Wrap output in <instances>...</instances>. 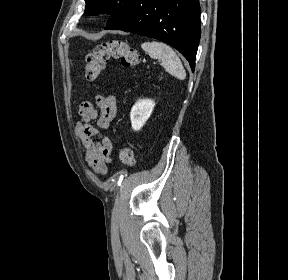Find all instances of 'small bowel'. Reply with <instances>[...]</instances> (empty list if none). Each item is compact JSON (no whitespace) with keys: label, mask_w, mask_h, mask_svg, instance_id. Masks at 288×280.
Instances as JSON below:
<instances>
[{"label":"small bowel","mask_w":288,"mask_h":280,"mask_svg":"<svg viewBox=\"0 0 288 280\" xmlns=\"http://www.w3.org/2000/svg\"><path fill=\"white\" fill-rule=\"evenodd\" d=\"M95 105L91 101H83L78 109L80 117L76 132L85 150V159L89 167L99 175L107 173V165L111 161L112 141L103 132L116 116L117 105L114 96L96 95ZM96 106V107H95ZM93 121L97 124L94 126Z\"/></svg>","instance_id":"1"}]
</instances>
